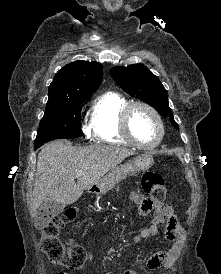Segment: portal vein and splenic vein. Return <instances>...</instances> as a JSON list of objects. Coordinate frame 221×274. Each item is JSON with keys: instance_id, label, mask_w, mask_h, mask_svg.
I'll use <instances>...</instances> for the list:
<instances>
[{"instance_id": "obj_1", "label": "portal vein and splenic vein", "mask_w": 221, "mask_h": 274, "mask_svg": "<svg viewBox=\"0 0 221 274\" xmlns=\"http://www.w3.org/2000/svg\"><path fill=\"white\" fill-rule=\"evenodd\" d=\"M83 173L81 171L76 173V178L80 177Z\"/></svg>"}]
</instances>
